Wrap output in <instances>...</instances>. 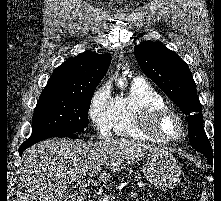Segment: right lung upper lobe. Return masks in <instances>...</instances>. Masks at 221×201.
Segmentation results:
<instances>
[{
    "label": "right lung upper lobe",
    "mask_w": 221,
    "mask_h": 201,
    "mask_svg": "<svg viewBox=\"0 0 221 201\" xmlns=\"http://www.w3.org/2000/svg\"><path fill=\"white\" fill-rule=\"evenodd\" d=\"M109 54L99 55L86 50L69 58L56 68L44 90L67 93H88L94 91L105 76L110 65Z\"/></svg>",
    "instance_id": "1"
}]
</instances>
